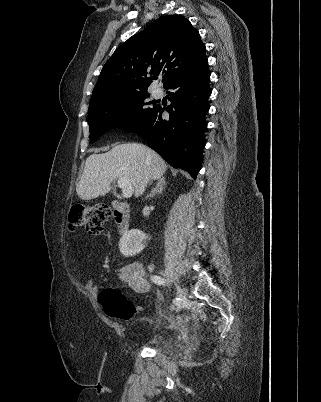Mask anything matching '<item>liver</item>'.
Listing matches in <instances>:
<instances>
[{"label": "liver", "instance_id": "liver-1", "mask_svg": "<svg viewBox=\"0 0 321 402\" xmlns=\"http://www.w3.org/2000/svg\"><path fill=\"white\" fill-rule=\"evenodd\" d=\"M167 170L163 158L140 143L115 145L102 154H91L76 186L77 195L91 200L109 192L110 184L120 178L130 180L135 197L145 191L148 179H159Z\"/></svg>", "mask_w": 321, "mask_h": 402}]
</instances>
